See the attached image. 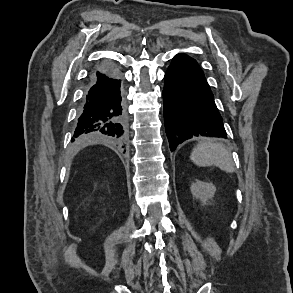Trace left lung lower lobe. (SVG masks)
Here are the masks:
<instances>
[{"instance_id": "0a47b994", "label": "left lung lower lobe", "mask_w": 293, "mask_h": 293, "mask_svg": "<svg viewBox=\"0 0 293 293\" xmlns=\"http://www.w3.org/2000/svg\"><path fill=\"white\" fill-rule=\"evenodd\" d=\"M165 130L170 150L194 136L227 138L213 93L197 62L177 54L165 74Z\"/></svg>"}]
</instances>
